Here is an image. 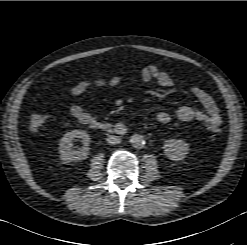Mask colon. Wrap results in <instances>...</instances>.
Segmentation results:
<instances>
[{
	"label": "colon",
	"mask_w": 247,
	"mask_h": 245,
	"mask_svg": "<svg viewBox=\"0 0 247 245\" xmlns=\"http://www.w3.org/2000/svg\"><path fill=\"white\" fill-rule=\"evenodd\" d=\"M83 85L85 88H94V87H103L107 85V77L101 76L97 77L88 81H84ZM46 123V117L43 114L39 113H34L31 115L29 124H28V129L32 133H37L39 132L45 125ZM207 130L213 133H218L220 132L219 127H213L209 124H205Z\"/></svg>",
	"instance_id": "5ec220e1"
}]
</instances>
